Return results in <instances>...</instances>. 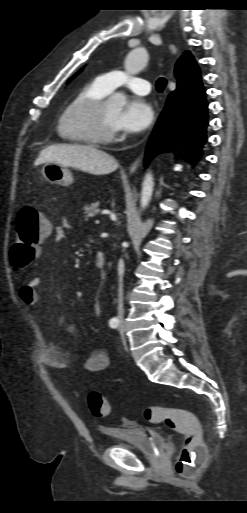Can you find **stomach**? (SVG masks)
<instances>
[{
  "label": "stomach",
  "mask_w": 247,
  "mask_h": 513,
  "mask_svg": "<svg viewBox=\"0 0 247 513\" xmlns=\"http://www.w3.org/2000/svg\"><path fill=\"white\" fill-rule=\"evenodd\" d=\"M42 174L45 180L51 184L69 186L73 183L70 170L57 163H46L42 168Z\"/></svg>",
  "instance_id": "0dacf381"
}]
</instances>
